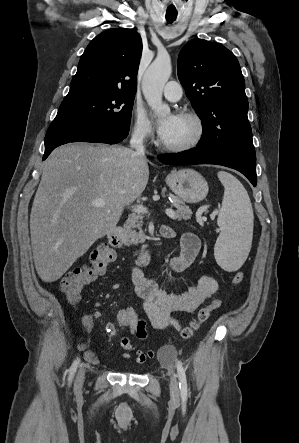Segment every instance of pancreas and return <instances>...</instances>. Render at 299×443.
Returning <instances> with one entry per match:
<instances>
[{"mask_svg":"<svg viewBox=\"0 0 299 443\" xmlns=\"http://www.w3.org/2000/svg\"><path fill=\"white\" fill-rule=\"evenodd\" d=\"M172 206L176 208L173 219H190L193 212L185 205V203L176 196H171ZM143 216L141 214L133 213L129 215L125 225L122 240L128 245H137L144 243L147 236L142 230Z\"/></svg>","mask_w":299,"mask_h":443,"instance_id":"cf45deb5","label":"pancreas"}]
</instances>
